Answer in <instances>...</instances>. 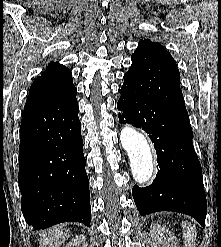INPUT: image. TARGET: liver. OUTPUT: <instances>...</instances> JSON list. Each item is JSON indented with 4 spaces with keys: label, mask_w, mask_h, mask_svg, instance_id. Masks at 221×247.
I'll return each instance as SVG.
<instances>
[{
    "label": "liver",
    "mask_w": 221,
    "mask_h": 247,
    "mask_svg": "<svg viewBox=\"0 0 221 247\" xmlns=\"http://www.w3.org/2000/svg\"><path fill=\"white\" fill-rule=\"evenodd\" d=\"M71 232L62 227H54L41 234L40 247H60L70 237Z\"/></svg>",
    "instance_id": "1"
}]
</instances>
